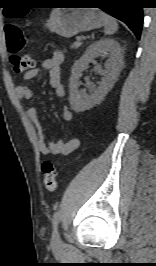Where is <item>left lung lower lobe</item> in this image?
<instances>
[{"label":"left lung lower lobe","mask_w":156,"mask_h":266,"mask_svg":"<svg viewBox=\"0 0 156 266\" xmlns=\"http://www.w3.org/2000/svg\"><path fill=\"white\" fill-rule=\"evenodd\" d=\"M81 6L102 8L104 12L123 21L139 39L143 24L140 0H69Z\"/></svg>","instance_id":"0a47b994"}]
</instances>
